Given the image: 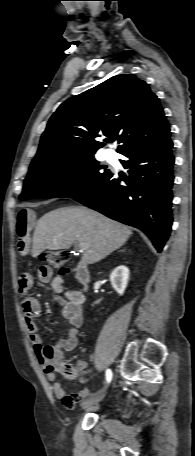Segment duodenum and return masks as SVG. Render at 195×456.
<instances>
[{"mask_svg":"<svg viewBox=\"0 0 195 456\" xmlns=\"http://www.w3.org/2000/svg\"><path fill=\"white\" fill-rule=\"evenodd\" d=\"M75 274L78 282L85 288L87 289L89 283H90V271L88 268V265L84 261H80L75 269Z\"/></svg>","mask_w":195,"mask_h":456,"instance_id":"duodenum-1","label":"duodenum"}]
</instances>
